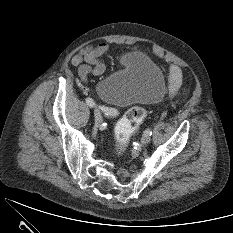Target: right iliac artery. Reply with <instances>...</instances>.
I'll list each match as a JSON object with an SVG mask.
<instances>
[{
  "mask_svg": "<svg viewBox=\"0 0 233 233\" xmlns=\"http://www.w3.org/2000/svg\"><path fill=\"white\" fill-rule=\"evenodd\" d=\"M86 103L90 107H94L95 106V102L91 98H86ZM99 108L102 110V112L105 115H108V116H116V115H118V111L116 109H114V108H109V107H105V106H99Z\"/></svg>",
  "mask_w": 233,
  "mask_h": 233,
  "instance_id": "obj_1",
  "label": "right iliac artery"
}]
</instances>
